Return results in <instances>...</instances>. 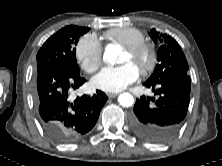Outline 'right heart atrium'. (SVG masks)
Segmentation results:
<instances>
[{
  "instance_id": "right-heart-atrium-1",
  "label": "right heart atrium",
  "mask_w": 222,
  "mask_h": 166,
  "mask_svg": "<svg viewBox=\"0 0 222 166\" xmlns=\"http://www.w3.org/2000/svg\"><path fill=\"white\" fill-rule=\"evenodd\" d=\"M75 56L84 71L93 73L102 64V44L96 36L84 35L76 45Z\"/></svg>"
}]
</instances>
